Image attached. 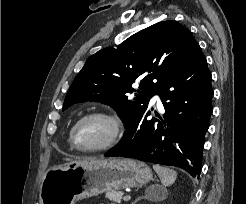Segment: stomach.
I'll return each instance as SVG.
<instances>
[{
	"label": "stomach",
	"instance_id": "1",
	"mask_svg": "<svg viewBox=\"0 0 246 204\" xmlns=\"http://www.w3.org/2000/svg\"><path fill=\"white\" fill-rule=\"evenodd\" d=\"M153 179L151 168L133 159H86L47 170L40 204H75L104 192L140 187Z\"/></svg>",
	"mask_w": 246,
	"mask_h": 204
}]
</instances>
